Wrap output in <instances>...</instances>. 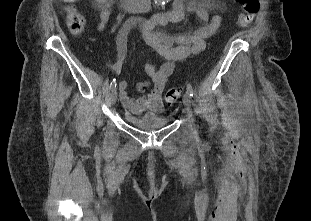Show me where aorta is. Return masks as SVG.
<instances>
[{
    "label": "aorta",
    "mask_w": 311,
    "mask_h": 221,
    "mask_svg": "<svg viewBox=\"0 0 311 221\" xmlns=\"http://www.w3.org/2000/svg\"><path fill=\"white\" fill-rule=\"evenodd\" d=\"M161 0H155V4H160Z\"/></svg>",
    "instance_id": "obj_1"
}]
</instances>
